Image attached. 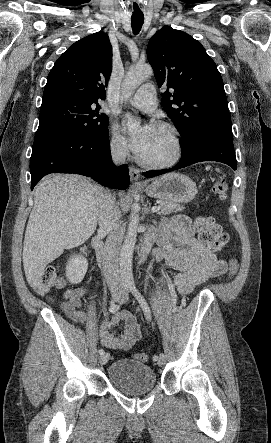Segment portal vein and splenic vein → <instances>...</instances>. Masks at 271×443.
Returning a JSON list of instances; mask_svg holds the SVG:
<instances>
[{
    "mask_svg": "<svg viewBox=\"0 0 271 443\" xmlns=\"http://www.w3.org/2000/svg\"><path fill=\"white\" fill-rule=\"evenodd\" d=\"M160 210V206H154V208H152V212H159Z\"/></svg>",
    "mask_w": 271,
    "mask_h": 443,
    "instance_id": "18ae733b",
    "label": "portal vein and splenic vein"
}]
</instances>
